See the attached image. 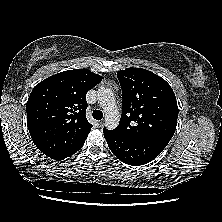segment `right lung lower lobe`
I'll use <instances>...</instances> for the list:
<instances>
[{
  "label": "right lung lower lobe",
  "mask_w": 222,
  "mask_h": 222,
  "mask_svg": "<svg viewBox=\"0 0 222 222\" xmlns=\"http://www.w3.org/2000/svg\"><path fill=\"white\" fill-rule=\"evenodd\" d=\"M81 148H82V147H81ZM81 148H80V149H81ZM80 149H78V150H80ZM78 150L73 151V152H70V153H67V154H57V155H52V156H48V157H50V158H52V159H55V160H63V159H65V158H67L68 156L73 155V154L76 153Z\"/></svg>",
  "instance_id": "right-lung-lower-lobe-1"
}]
</instances>
